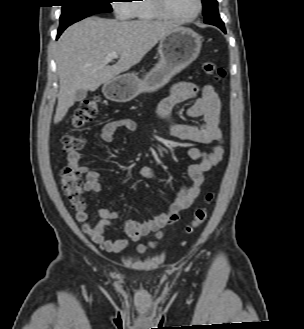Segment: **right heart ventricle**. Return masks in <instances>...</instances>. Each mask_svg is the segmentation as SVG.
<instances>
[{
	"label": "right heart ventricle",
	"instance_id": "e07e8e85",
	"mask_svg": "<svg viewBox=\"0 0 304 329\" xmlns=\"http://www.w3.org/2000/svg\"><path fill=\"white\" fill-rule=\"evenodd\" d=\"M131 4V17L139 21H153L162 19V15L156 10L153 0H136Z\"/></svg>",
	"mask_w": 304,
	"mask_h": 329
}]
</instances>
